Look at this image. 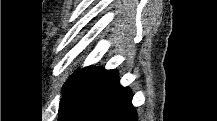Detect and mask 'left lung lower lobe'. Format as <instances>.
Instances as JSON below:
<instances>
[{
  "label": "left lung lower lobe",
  "mask_w": 217,
  "mask_h": 121,
  "mask_svg": "<svg viewBox=\"0 0 217 121\" xmlns=\"http://www.w3.org/2000/svg\"><path fill=\"white\" fill-rule=\"evenodd\" d=\"M132 93L122 87L116 70H101L74 121H137Z\"/></svg>",
  "instance_id": "left-lung-lower-lobe-1"
}]
</instances>
